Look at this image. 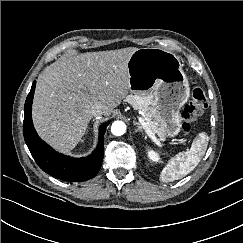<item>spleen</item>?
<instances>
[{
    "label": "spleen",
    "mask_w": 243,
    "mask_h": 243,
    "mask_svg": "<svg viewBox=\"0 0 243 243\" xmlns=\"http://www.w3.org/2000/svg\"><path fill=\"white\" fill-rule=\"evenodd\" d=\"M208 141L207 134L200 133L194 139L188 151L180 152L169 160L161 172L160 181L171 182L178 180L193 171L204 156Z\"/></svg>",
    "instance_id": "obj_1"
}]
</instances>
